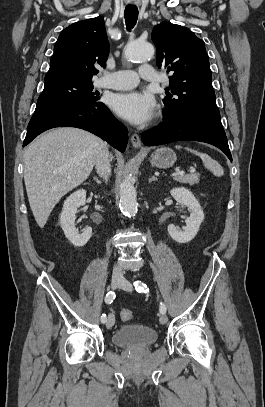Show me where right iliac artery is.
I'll return each instance as SVG.
<instances>
[{
	"mask_svg": "<svg viewBox=\"0 0 265 407\" xmlns=\"http://www.w3.org/2000/svg\"><path fill=\"white\" fill-rule=\"evenodd\" d=\"M115 297H116L115 292H114V291H109V292L106 294L105 303H106V304H111V303L113 302V300L115 299ZM106 321H107L106 314H103V315L101 316V322H102V323H105Z\"/></svg>",
	"mask_w": 265,
	"mask_h": 407,
	"instance_id": "1",
	"label": "right iliac artery"
}]
</instances>
